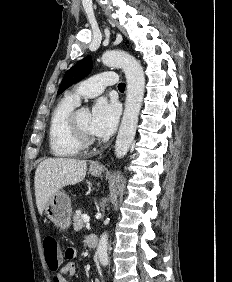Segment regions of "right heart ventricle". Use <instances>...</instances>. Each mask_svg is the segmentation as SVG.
Listing matches in <instances>:
<instances>
[{
	"mask_svg": "<svg viewBox=\"0 0 232 282\" xmlns=\"http://www.w3.org/2000/svg\"><path fill=\"white\" fill-rule=\"evenodd\" d=\"M79 101L67 94L53 108L49 122L48 142L52 155L71 157L77 155L81 146L72 138L68 128V116Z\"/></svg>",
	"mask_w": 232,
	"mask_h": 282,
	"instance_id": "obj_1",
	"label": "right heart ventricle"
}]
</instances>
